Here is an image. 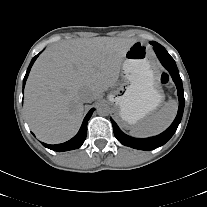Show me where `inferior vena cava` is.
<instances>
[{
    "label": "inferior vena cava",
    "mask_w": 207,
    "mask_h": 207,
    "mask_svg": "<svg viewBox=\"0 0 207 207\" xmlns=\"http://www.w3.org/2000/svg\"><path fill=\"white\" fill-rule=\"evenodd\" d=\"M81 99L83 102H91L92 101V97H91L90 93H88V92H83L81 94Z\"/></svg>",
    "instance_id": "inferior-vena-cava-1"
}]
</instances>
